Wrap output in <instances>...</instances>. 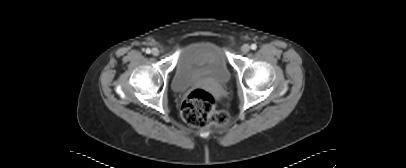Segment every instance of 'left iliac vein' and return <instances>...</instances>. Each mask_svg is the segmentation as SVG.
I'll use <instances>...</instances> for the list:
<instances>
[{"instance_id": "1", "label": "left iliac vein", "mask_w": 406, "mask_h": 168, "mask_svg": "<svg viewBox=\"0 0 406 168\" xmlns=\"http://www.w3.org/2000/svg\"><path fill=\"white\" fill-rule=\"evenodd\" d=\"M241 51H242V53H244V54L248 53V52L250 51V46H249L248 44L242 45Z\"/></svg>"}]
</instances>
